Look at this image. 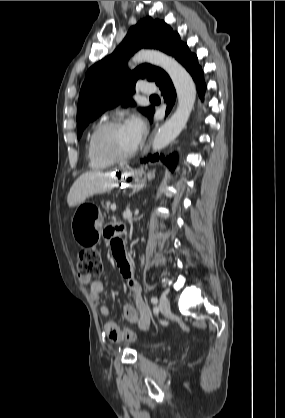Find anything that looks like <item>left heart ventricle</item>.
<instances>
[{
	"label": "left heart ventricle",
	"mask_w": 285,
	"mask_h": 418,
	"mask_svg": "<svg viewBox=\"0 0 285 418\" xmlns=\"http://www.w3.org/2000/svg\"><path fill=\"white\" fill-rule=\"evenodd\" d=\"M104 142L117 154H125L136 145L125 125L107 132L104 137Z\"/></svg>",
	"instance_id": "b2bd125f"
}]
</instances>
